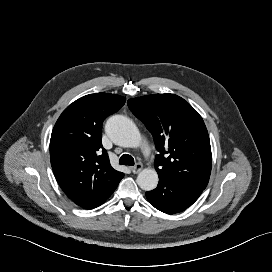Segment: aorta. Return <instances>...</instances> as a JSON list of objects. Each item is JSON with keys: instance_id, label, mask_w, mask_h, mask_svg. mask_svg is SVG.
I'll return each mask as SVG.
<instances>
[{"instance_id": "obj_1", "label": "aorta", "mask_w": 272, "mask_h": 272, "mask_svg": "<svg viewBox=\"0 0 272 272\" xmlns=\"http://www.w3.org/2000/svg\"><path fill=\"white\" fill-rule=\"evenodd\" d=\"M107 135L118 145L123 147H136L141 141L139 129L132 120L123 115L110 117L105 125ZM138 186L151 191L156 188L159 178L154 169H143L137 176Z\"/></svg>"}]
</instances>
